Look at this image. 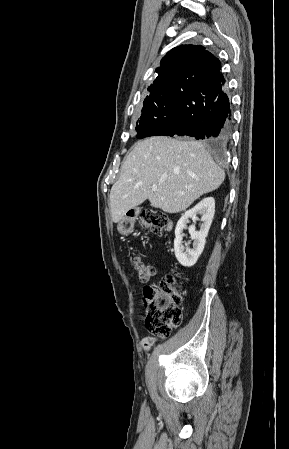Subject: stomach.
<instances>
[{
  "mask_svg": "<svg viewBox=\"0 0 289 449\" xmlns=\"http://www.w3.org/2000/svg\"><path fill=\"white\" fill-rule=\"evenodd\" d=\"M134 218L124 217L118 223L117 229L120 234L128 235L132 232L134 228Z\"/></svg>",
  "mask_w": 289,
  "mask_h": 449,
  "instance_id": "obj_1",
  "label": "stomach"
}]
</instances>
